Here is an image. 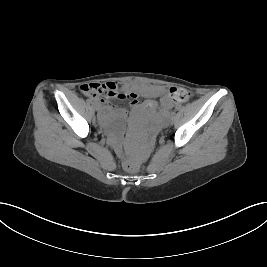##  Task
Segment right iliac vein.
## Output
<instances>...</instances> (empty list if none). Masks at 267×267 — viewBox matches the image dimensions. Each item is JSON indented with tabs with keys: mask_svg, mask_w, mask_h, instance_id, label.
<instances>
[{
	"mask_svg": "<svg viewBox=\"0 0 267 267\" xmlns=\"http://www.w3.org/2000/svg\"><path fill=\"white\" fill-rule=\"evenodd\" d=\"M93 107H94V109H95L96 111L99 110V105H98V104H94Z\"/></svg>",
	"mask_w": 267,
	"mask_h": 267,
	"instance_id": "right-iliac-vein-1",
	"label": "right iliac vein"
}]
</instances>
